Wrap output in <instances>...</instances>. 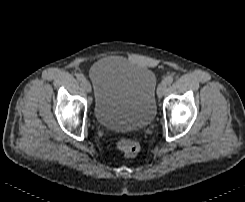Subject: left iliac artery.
<instances>
[{
    "label": "left iliac artery",
    "mask_w": 245,
    "mask_h": 202,
    "mask_svg": "<svg viewBox=\"0 0 245 202\" xmlns=\"http://www.w3.org/2000/svg\"><path fill=\"white\" fill-rule=\"evenodd\" d=\"M163 82L167 85H170L173 82V77L168 76L163 80Z\"/></svg>",
    "instance_id": "obj_1"
}]
</instances>
